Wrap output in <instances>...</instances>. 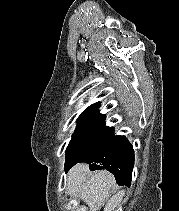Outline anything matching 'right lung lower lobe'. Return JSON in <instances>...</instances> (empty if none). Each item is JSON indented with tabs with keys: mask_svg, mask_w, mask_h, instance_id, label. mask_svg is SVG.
I'll return each mask as SVG.
<instances>
[{
	"mask_svg": "<svg viewBox=\"0 0 179 211\" xmlns=\"http://www.w3.org/2000/svg\"><path fill=\"white\" fill-rule=\"evenodd\" d=\"M89 164L90 170L106 169L110 171L118 185L130 186L134 166V151L130 142L124 136H114L100 148L86 155L76 163ZM74 164L65 165L68 171Z\"/></svg>",
	"mask_w": 179,
	"mask_h": 211,
	"instance_id": "right-lung-lower-lobe-1",
	"label": "right lung lower lobe"
}]
</instances>
